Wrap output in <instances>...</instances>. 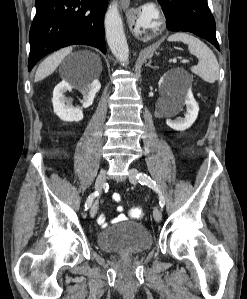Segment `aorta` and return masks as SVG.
<instances>
[{
	"label": "aorta",
	"instance_id": "aorta-1",
	"mask_svg": "<svg viewBox=\"0 0 247 299\" xmlns=\"http://www.w3.org/2000/svg\"><path fill=\"white\" fill-rule=\"evenodd\" d=\"M105 34L115 58L124 66L129 62V48L117 2H113L105 15Z\"/></svg>",
	"mask_w": 247,
	"mask_h": 299
}]
</instances>
